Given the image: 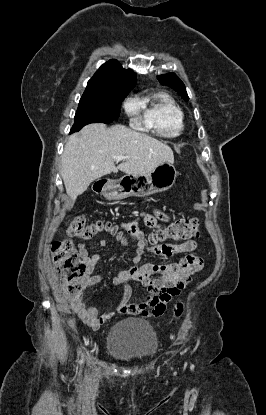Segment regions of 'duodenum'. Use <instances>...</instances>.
<instances>
[{
  "mask_svg": "<svg viewBox=\"0 0 266 415\" xmlns=\"http://www.w3.org/2000/svg\"><path fill=\"white\" fill-rule=\"evenodd\" d=\"M105 186H106V183H104V182L100 183L99 184V187H98L99 188V191L102 190V189H104Z\"/></svg>",
  "mask_w": 266,
  "mask_h": 415,
  "instance_id": "1",
  "label": "duodenum"
}]
</instances>
